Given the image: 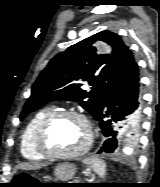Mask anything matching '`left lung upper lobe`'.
<instances>
[{
	"label": "left lung upper lobe",
	"mask_w": 160,
	"mask_h": 187,
	"mask_svg": "<svg viewBox=\"0 0 160 187\" xmlns=\"http://www.w3.org/2000/svg\"><path fill=\"white\" fill-rule=\"evenodd\" d=\"M102 40L112 47L111 54L98 55L92 44ZM134 57L119 35L102 31L94 34L55 56L41 72L32 86L20 120L49 101H79L94 118L106 94L128 74ZM83 82L91 91L81 88ZM137 138L139 124L123 125L122 128Z\"/></svg>",
	"instance_id": "left-lung-upper-lobe-1"
}]
</instances>
